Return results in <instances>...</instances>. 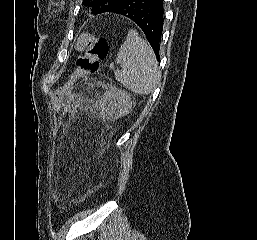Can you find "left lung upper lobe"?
<instances>
[{
  "label": "left lung upper lobe",
  "mask_w": 257,
  "mask_h": 240,
  "mask_svg": "<svg viewBox=\"0 0 257 240\" xmlns=\"http://www.w3.org/2000/svg\"><path fill=\"white\" fill-rule=\"evenodd\" d=\"M121 0H84L83 5L91 8V14L98 15L114 7Z\"/></svg>",
  "instance_id": "1"
}]
</instances>
